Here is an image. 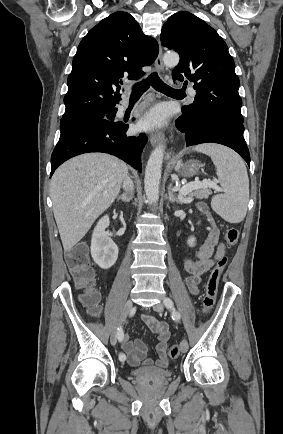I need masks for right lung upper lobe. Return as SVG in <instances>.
<instances>
[{
    "label": "right lung upper lobe",
    "mask_w": 283,
    "mask_h": 434,
    "mask_svg": "<svg viewBox=\"0 0 283 434\" xmlns=\"http://www.w3.org/2000/svg\"><path fill=\"white\" fill-rule=\"evenodd\" d=\"M158 43L145 35L134 17L115 12L81 40L68 76L62 119L109 112L121 100L122 78L137 80L158 55Z\"/></svg>",
    "instance_id": "obj_1"
}]
</instances>
